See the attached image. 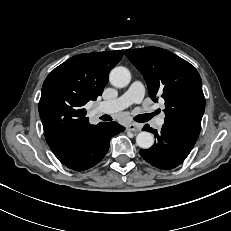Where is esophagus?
Wrapping results in <instances>:
<instances>
[{
    "mask_svg": "<svg viewBox=\"0 0 231 231\" xmlns=\"http://www.w3.org/2000/svg\"><path fill=\"white\" fill-rule=\"evenodd\" d=\"M127 130L132 132H139L141 131V126L136 123H131L127 126Z\"/></svg>",
    "mask_w": 231,
    "mask_h": 231,
    "instance_id": "obj_1",
    "label": "esophagus"
}]
</instances>
